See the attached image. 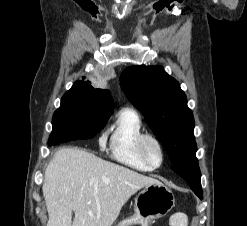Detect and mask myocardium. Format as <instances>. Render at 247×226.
<instances>
[{
    "label": "myocardium",
    "mask_w": 247,
    "mask_h": 226,
    "mask_svg": "<svg viewBox=\"0 0 247 226\" xmlns=\"http://www.w3.org/2000/svg\"><path fill=\"white\" fill-rule=\"evenodd\" d=\"M148 141H152L153 143H155V145L157 146L159 150L160 161L158 164L152 163L146 153V144ZM137 149H138V153L141 159L152 169L159 168L165 160V150H164L163 144L161 140L154 134L143 133L138 139Z\"/></svg>",
    "instance_id": "obj_1"
}]
</instances>
